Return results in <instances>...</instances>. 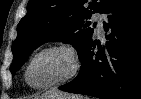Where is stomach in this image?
<instances>
[{
	"instance_id": "1",
	"label": "stomach",
	"mask_w": 141,
	"mask_h": 99,
	"mask_svg": "<svg viewBox=\"0 0 141 99\" xmlns=\"http://www.w3.org/2000/svg\"><path fill=\"white\" fill-rule=\"evenodd\" d=\"M39 99H51V98H50V95H45V94H44V95L41 96Z\"/></svg>"
}]
</instances>
